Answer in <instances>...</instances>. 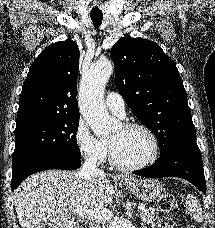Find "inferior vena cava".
<instances>
[{"label": "inferior vena cava", "mask_w": 215, "mask_h": 228, "mask_svg": "<svg viewBox=\"0 0 215 228\" xmlns=\"http://www.w3.org/2000/svg\"><path fill=\"white\" fill-rule=\"evenodd\" d=\"M77 176L81 180H92L96 176H104V172L99 170L95 156H87L83 166L80 168V172H77Z\"/></svg>", "instance_id": "inferior-vena-cava-1"}]
</instances>
